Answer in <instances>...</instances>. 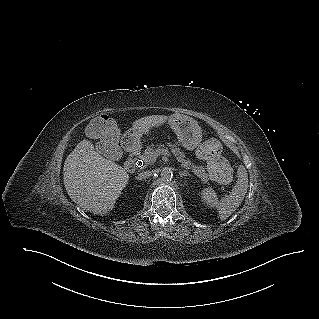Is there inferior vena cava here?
Returning <instances> with one entry per match:
<instances>
[{
    "mask_svg": "<svg viewBox=\"0 0 319 319\" xmlns=\"http://www.w3.org/2000/svg\"><path fill=\"white\" fill-rule=\"evenodd\" d=\"M153 175V171H145L139 174L138 179L142 180V179H146L149 178Z\"/></svg>",
    "mask_w": 319,
    "mask_h": 319,
    "instance_id": "obj_1",
    "label": "inferior vena cava"
}]
</instances>
